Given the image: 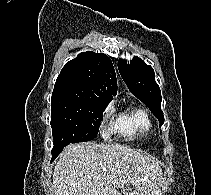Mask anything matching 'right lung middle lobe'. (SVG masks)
I'll return each instance as SVG.
<instances>
[{
  "mask_svg": "<svg viewBox=\"0 0 211 195\" xmlns=\"http://www.w3.org/2000/svg\"><path fill=\"white\" fill-rule=\"evenodd\" d=\"M109 102L52 97L51 127L54 148L52 153L66 145L94 139L99 131L102 114Z\"/></svg>",
  "mask_w": 211,
  "mask_h": 195,
  "instance_id": "right-lung-middle-lobe-1",
  "label": "right lung middle lobe"
}]
</instances>
